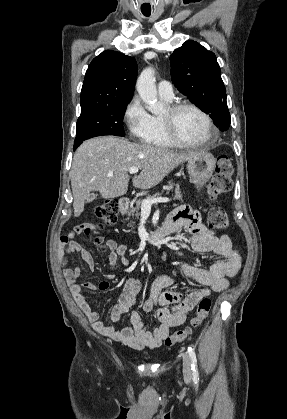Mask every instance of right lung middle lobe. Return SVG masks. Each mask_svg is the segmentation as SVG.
Segmentation results:
<instances>
[{
	"mask_svg": "<svg viewBox=\"0 0 287 419\" xmlns=\"http://www.w3.org/2000/svg\"><path fill=\"white\" fill-rule=\"evenodd\" d=\"M129 102L82 111L77 120L74 150L86 139L100 135L125 136L123 118Z\"/></svg>",
	"mask_w": 287,
	"mask_h": 419,
	"instance_id": "dd1d6c3e",
	"label": "right lung middle lobe"
}]
</instances>
